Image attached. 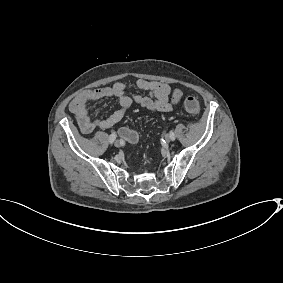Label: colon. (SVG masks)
<instances>
[{"label": "colon", "mask_w": 283, "mask_h": 283, "mask_svg": "<svg viewBox=\"0 0 283 283\" xmlns=\"http://www.w3.org/2000/svg\"><path fill=\"white\" fill-rule=\"evenodd\" d=\"M185 110L191 115H198L201 110V106L199 101L195 97H187L184 101ZM121 135L126 140H134L137 141L139 136L135 131L129 130L127 128H122L120 130Z\"/></svg>", "instance_id": "obj_1"}]
</instances>
